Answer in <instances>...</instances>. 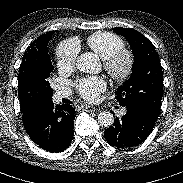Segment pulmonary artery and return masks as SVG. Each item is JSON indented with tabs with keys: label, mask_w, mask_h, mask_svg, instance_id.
I'll return each instance as SVG.
<instances>
[{
	"label": "pulmonary artery",
	"mask_w": 183,
	"mask_h": 183,
	"mask_svg": "<svg viewBox=\"0 0 183 183\" xmlns=\"http://www.w3.org/2000/svg\"><path fill=\"white\" fill-rule=\"evenodd\" d=\"M69 91L66 89H59L54 93V101L55 102H59L61 101L63 98H66L69 95ZM125 112V109L122 110V113Z\"/></svg>",
	"instance_id": "1"
}]
</instances>
